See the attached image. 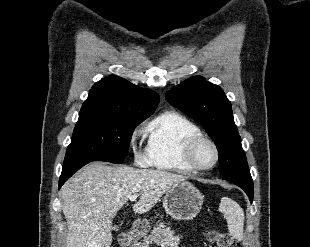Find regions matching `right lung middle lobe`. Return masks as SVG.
Wrapping results in <instances>:
<instances>
[{"mask_svg":"<svg viewBox=\"0 0 310 247\" xmlns=\"http://www.w3.org/2000/svg\"><path fill=\"white\" fill-rule=\"evenodd\" d=\"M147 117L79 114L63 166L81 161L121 164L135 127Z\"/></svg>","mask_w":310,"mask_h":247,"instance_id":"right-lung-middle-lobe-1","label":"right lung middle lobe"}]
</instances>
